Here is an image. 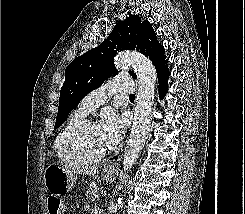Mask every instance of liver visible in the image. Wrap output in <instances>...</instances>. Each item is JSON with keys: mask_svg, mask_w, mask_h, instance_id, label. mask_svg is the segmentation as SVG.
I'll use <instances>...</instances> for the list:
<instances>
[{"mask_svg": "<svg viewBox=\"0 0 245 214\" xmlns=\"http://www.w3.org/2000/svg\"><path fill=\"white\" fill-rule=\"evenodd\" d=\"M76 171L81 174H95L98 172V170L95 168H81L77 169Z\"/></svg>", "mask_w": 245, "mask_h": 214, "instance_id": "6515ba94", "label": "liver"}]
</instances>
